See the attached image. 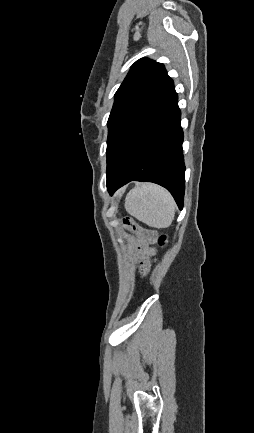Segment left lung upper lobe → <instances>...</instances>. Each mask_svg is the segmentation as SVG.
<instances>
[{
	"label": "left lung upper lobe",
	"mask_w": 254,
	"mask_h": 433,
	"mask_svg": "<svg viewBox=\"0 0 254 433\" xmlns=\"http://www.w3.org/2000/svg\"><path fill=\"white\" fill-rule=\"evenodd\" d=\"M173 86L163 64L146 58L133 64L115 93L107 123V180L117 170L139 129Z\"/></svg>",
	"instance_id": "obj_1"
}]
</instances>
